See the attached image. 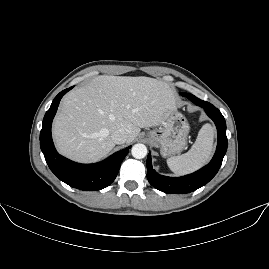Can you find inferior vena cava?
<instances>
[{
    "label": "inferior vena cava",
    "mask_w": 269,
    "mask_h": 269,
    "mask_svg": "<svg viewBox=\"0 0 269 269\" xmlns=\"http://www.w3.org/2000/svg\"><path fill=\"white\" fill-rule=\"evenodd\" d=\"M111 139L116 144H123L127 140V133L124 129H117L112 132Z\"/></svg>",
    "instance_id": "1"
}]
</instances>
